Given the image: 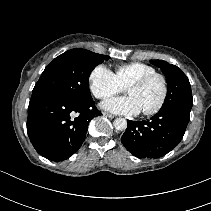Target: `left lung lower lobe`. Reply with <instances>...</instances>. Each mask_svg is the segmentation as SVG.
<instances>
[{
  "instance_id": "left-lung-lower-lobe-1",
  "label": "left lung lower lobe",
  "mask_w": 211,
  "mask_h": 211,
  "mask_svg": "<svg viewBox=\"0 0 211 211\" xmlns=\"http://www.w3.org/2000/svg\"><path fill=\"white\" fill-rule=\"evenodd\" d=\"M189 115L188 110L168 107L160 109L146 121L128 120V127L121 137V142L136 157H162L182 140Z\"/></svg>"
}]
</instances>
